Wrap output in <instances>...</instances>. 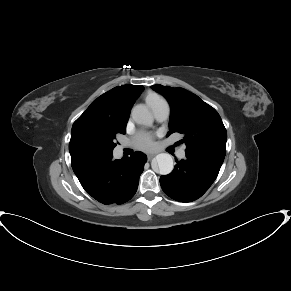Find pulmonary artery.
I'll list each match as a JSON object with an SVG mask.
<instances>
[{
    "instance_id": "obj_1",
    "label": "pulmonary artery",
    "mask_w": 291,
    "mask_h": 291,
    "mask_svg": "<svg viewBox=\"0 0 291 291\" xmlns=\"http://www.w3.org/2000/svg\"><path fill=\"white\" fill-rule=\"evenodd\" d=\"M152 111L155 115V118L160 121L163 122L168 118L169 115V105L167 103V101L165 99H160L159 101H157L153 107H152ZM125 146H119L117 148V153H121L122 150L124 149ZM177 156L178 158H183L185 156V148H181L178 152H177Z\"/></svg>"
}]
</instances>
